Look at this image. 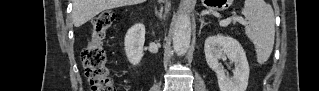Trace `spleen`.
Returning a JSON list of instances; mask_svg holds the SVG:
<instances>
[{"instance_id": "3e777b00", "label": "spleen", "mask_w": 319, "mask_h": 91, "mask_svg": "<svg viewBox=\"0 0 319 91\" xmlns=\"http://www.w3.org/2000/svg\"><path fill=\"white\" fill-rule=\"evenodd\" d=\"M242 14L248 20L246 36L253 42L257 62L264 64L270 57L275 40V17L264 0H246Z\"/></svg>"}]
</instances>
